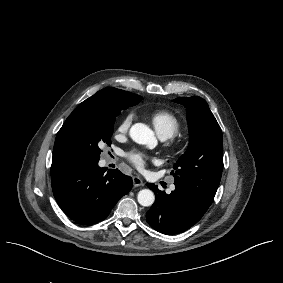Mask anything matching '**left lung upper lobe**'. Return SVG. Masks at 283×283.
I'll return each mask as SVG.
<instances>
[{
    "label": "left lung upper lobe",
    "mask_w": 283,
    "mask_h": 283,
    "mask_svg": "<svg viewBox=\"0 0 283 283\" xmlns=\"http://www.w3.org/2000/svg\"><path fill=\"white\" fill-rule=\"evenodd\" d=\"M173 101L186 107L190 132L189 146L173 167L174 184L212 203L223 170L222 131L204 99Z\"/></svg>",
    "instance_id": "obj_1"
}]
</instances>
